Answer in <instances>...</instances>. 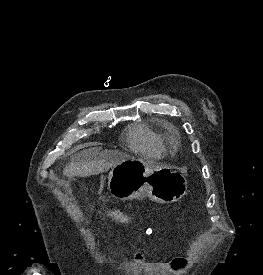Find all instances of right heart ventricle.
<instances>
[{
  "label": "right heart ventricle",
  "instance_id": "e07e8e85",
  "mask_svg": "<svg viewBox=\"0 0 263 275\" xmlns=\"http://www.w3.org/2000/svg\"><path fill=\"white\" fill-rule=\"evenodd\" d=\"M129 144L132 149L142 153H154L160 149L157 135L143 126H136L131 130Z\"/></svg>",
  "mask_w": 263,
  "mask_h": 275
}]
</instances>
